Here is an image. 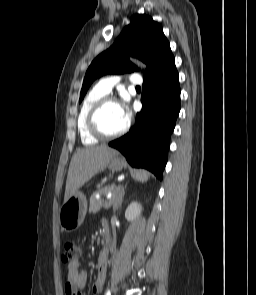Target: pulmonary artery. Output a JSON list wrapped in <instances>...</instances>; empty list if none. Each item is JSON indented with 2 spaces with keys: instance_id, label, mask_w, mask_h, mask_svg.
Segmentation results:
<instances>
[{
  "instance_id": "e3ab8cb5",
  "label": "pulmonary artery",
  "mask_w": 256,
  "mask_h": 295,
  "mask_svg": "<svg viewBox=\"0 0 256 295\" xmlns=\"http://www.w3.org/2000/svg\"><path fill=\"white\" fill-rule=\"evenodd\" d=\"M120 81H121V77L119 76H108L101 79L98 82L97 87L105 94H109L112 91L113 87L116 84H118ZM129 81L131 84H134V85L142 84V78L138 73H132L129 76Z\"/></svg>"
}]
</instances>
